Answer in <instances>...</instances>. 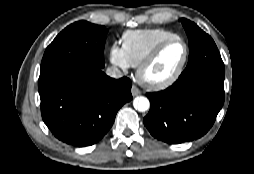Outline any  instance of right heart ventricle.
I'll list each match as a JSON object with an SVG mask.
<instances>
[{
	"instance_id": "e07e8e85",
	"label": "right heart ventricle",
	"mask_w": 254,
	"mask_h": 174,
	"mask_svg": "<svg viewBox=\"0 0 254 174\" xmlns=\"http://www.w3.org/2000/svg\"><path fill=\"white\" fill-rule=\"evenodd\" d=\"M173 37L177 34L163 28L127 30L122 34V48L131 66L137 67L158 43Z\"/></svg>"
}]
</instances>
